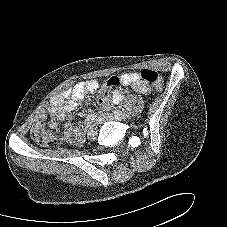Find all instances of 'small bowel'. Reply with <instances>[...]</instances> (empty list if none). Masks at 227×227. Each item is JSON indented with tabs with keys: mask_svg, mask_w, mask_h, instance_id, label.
Returning a JSON list of instances; mask_svg holds the SVG:
<instances>
[{
	"mask_svg": "<svg viewBox=\"0 0 227 227\" xmlns=\"http://www.w3.org/2000/svg\"><path fill=\"white\" fill-rule=\"evenodd\" d=\"M121 85L130 86L135 92L140 94L149 92V87L141 80L138 72H125L121 74ZM98 88L99 84L96 80H87L78 82L54 96L49 110L51 116L49 126L53 129L57 128L61 121L70 117V113L75 108L77 102L81 101L85 95L96 92ZM122 98V87H116L111 93L103 92L100 103L102 106H105L107 103L117 104ZM44 118L45 114L42 111L36 114L33 130L40 126Z\"/></svg>",
	"mask_w": 227,
	"mask_h": 227,
	"instance_id": "c3829d8e",
	"label": "small bowel"
}]
</instances>
